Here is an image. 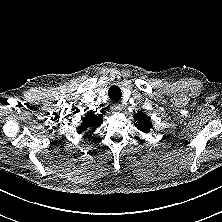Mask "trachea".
<instances>
[{
	"mask_svg": "<svg viewBox=\"0 0 222 222\" xmlns=\"http://www.w3.org/2000/svg\"><path fill=\"white\" fill-rule=\"evenodd\" d=\"M108 95H109V98L113 101H119L122 97V93H121V90L118 86H111L109 88V92H108Z\"/></svg>",
	"mask_w": 222,
	"mask_h": 222,
	"instance_id": "1",
	"label": "trachea"
}]
</instances>
